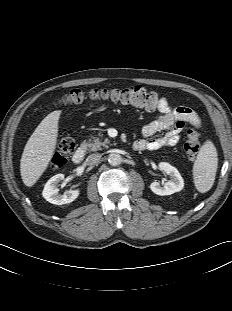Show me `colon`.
Segmentation results:
<instances>
[{
  "mask_svg": "<svg viewBox=\"0 0 232 311\" xmlns=\"http://www.w3.org/2000/svg\"><path fill=\"white\" fill-rule=\"evenodd\" d=\"M86 96L92 100H111L123 105L142 108L149 111L159 110L161 99L154 93L146 89L135 86L122 89L104 90L93 89L88 95L83 91L74 89L59 100L60 104L75 105L82 103ZM196 121L188 123L187 140L184 144V150L187 157L193 160L199 152L200 142ZM75 144L69 135H64L58 142L57 149L52 157V166L61 168L67 162L68 156L73 152Z\"/></svg>",
  "mask_w": 232,
  "mask_h": 311,
  "instance_id": "5ec220e1",
  "label": "colon"
}]
</instances>
